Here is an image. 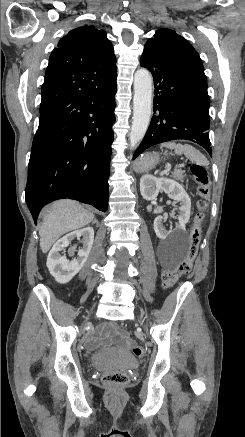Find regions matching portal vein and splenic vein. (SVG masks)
I'll list each match as a JSON object with an SVG mask.
<instances>
[{
  "label": "portal vein and splenic vein",
  "instance_id": "18ae733b",
  "mask_svg": "<svg viewBox=\"0 0 245 437\" xmlns=\"http://www.w3.org/2000/svg\"><path fill=\"white\" fill-rule=\"evenodd\" d=\"M181 167H183V165H181ZM170 169H171V165L167 164V170H170Z\"/></svg>",
  "mask_w": 245,
  "mask_h": 437
}]
</instances>
